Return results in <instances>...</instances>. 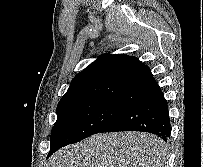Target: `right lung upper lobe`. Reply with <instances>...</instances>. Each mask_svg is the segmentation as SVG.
<instances>
[{
  "instance_id": "1",
  "label": "right lung upper lobe",
  "mask_w": 203,
  "mask_h": 167,
  "mask_svg": "<svg viewBox=\"0 0 203 167\" xmlns=\"http://www.w3.org/2000/svg\"><path fill=\"white\" fill-rule=\"evenodd\" d=\"M158 90L150 68L136 57L106 54L75 76L58 105L78 99L100 98L130 106Z\"/></svg>"
}]
</instances>
